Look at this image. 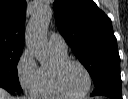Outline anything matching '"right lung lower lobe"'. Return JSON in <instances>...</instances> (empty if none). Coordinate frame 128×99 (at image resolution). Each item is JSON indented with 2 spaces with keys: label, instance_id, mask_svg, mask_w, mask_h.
<instances>
[{
  "label": "right lung lower lobe",
  "instance_id": "obj_1",
  "mask_svg": "<svg viewBox=\"0 0 128 99\" xmlns=\"http://www.w3.org/2000/svg\"><path fill=\"white\" fill-rule=\"evenodd\" d=\"M0 87L6 89L8 92L14 94V93H19V91H16L14 90L13 88L9 87V86H6V85H3V84H0Z\"/></svg>",
  "mask_w": 128,
  "mask_h": 99
}]
</instances>
